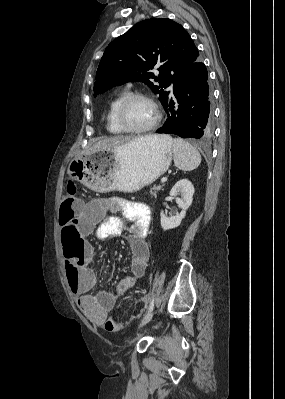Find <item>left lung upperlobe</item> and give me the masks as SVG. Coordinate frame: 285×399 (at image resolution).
I'll return each mask as SVG.
<instances>
[{"instance_id":"5c2ea615","label":"left lung upper lobe","mask_w":285,"mask_h":399,"mask_svg":"<svg viewBox=\"0 0 285 399\" xmlns=\"http://www.w3.org/2000/svg\"><path fill=\"white\" fill-rule=\"evenodd\" d=\"M198 56L197 47L180 24L166 18L138 22L107 46L97 69L94 96L125 82L141 81L159 94L165 105L169 92L164 89ZM155 66L158 77L151 72Z\"/></svg>"}]
</instances>
